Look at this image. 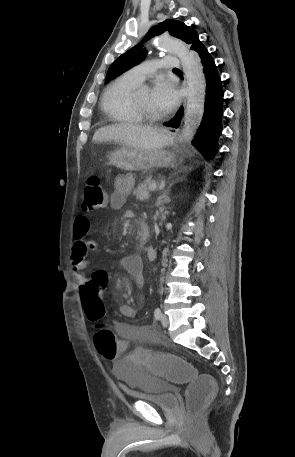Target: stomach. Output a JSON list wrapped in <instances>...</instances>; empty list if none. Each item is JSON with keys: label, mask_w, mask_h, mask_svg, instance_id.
<instances>
[{"label": "stomach", "mask_w": 295, "mask_h": 457, "mask_svg": "<svg viewBox=\"0 0 295 457\" xmlns=\"http://www.w3.org/2000/svg\"><path fill=\"white\" fill-rule=\"evenodd\" d=\"M168 143L173 136L168 132ZM109 165L123 170L138 171L154 167H168L174 161L173 155L164 149L141 151L132 147L122 146L108 154Z\"/></svg>", "instance_id": "0dacf381"}]
</instances>
